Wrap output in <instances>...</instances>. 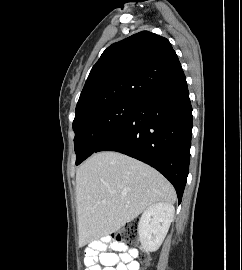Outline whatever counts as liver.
<instances>
[{
  "instance_id": "liver-1",
  "label": "liver",
  "mask_w": 242,
  "mask_h": 270,
  "mask_svg": "<svg viewBox=\"0 0 242 270\" xmlns=\"http://www.w3.org/2000/svg\"><path fill=\"white\" fill-rule=\"evenodd\" d=\"M173 186L155 169L118 152H99L76 172L79 245L110 235L154 203L173 204Z\"/></svg>"
}]
</instances>
